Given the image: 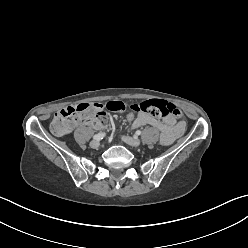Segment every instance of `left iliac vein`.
<instances>
[{"instance_id":"1","label":"left iliac vein","mask_w":248,"mask_h":248,"mask_svg":"<svg viewBox=\"0 0 248 248\" xmlns=\"http://www.w3.org/2000/svg\"><path fill=\"white\" fill-rule=\"evenodd\" d=\"M122 140H123L125 143H127V144H129V145H131V146H134V147L139 146L140 143H141L139 139H137V138H132V137H129V136H122Z\"/></svg>"}]
</instances>
